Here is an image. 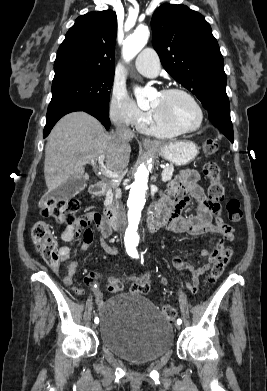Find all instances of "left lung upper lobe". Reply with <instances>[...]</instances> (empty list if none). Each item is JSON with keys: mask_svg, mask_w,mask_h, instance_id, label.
Returning a JSON list of instances; mask_svg holds the SVG:
<instances>
[{"mask_svg": "<svg viewBox=\"0 0 267 391\" xmlns=\"http://www.w3.org/2000/svg\"><path fill=\"white\" fill-rule=\"evenodd\" d=\"M151 27L164 69L205 109L229 106L223 57L204 16L185 5L166 3L154 12Z\"/></svg>", "mask_w": 267, "mask_h": 391, "instance_id": "5c2ea615", "label": "left lung upper lobe"}]
</instances>
